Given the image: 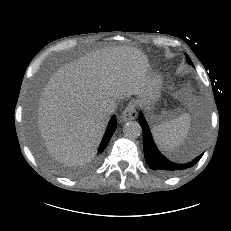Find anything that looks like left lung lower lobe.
<instances>
[{"instance_id":"0a47b994","label":"left lung lower lobe","mask_w":231,"mask_h":231,"mask_svg":"<svg viewBox=\"0 0 231 231\" xmlns=\"http://www.w3.org/2000/svg\"><path fill=\"white\" fill-rule=\"evenodd\" d=\"M139 123L143 129V149L145 160L148 166L165 175H174L180 173L181 171L192 167L198 160L203 156V154L196 157L193 161L188 163H179L166 159L156 148L149 127L142 114L139 116Z\"/></svg>"}]
</instances>
